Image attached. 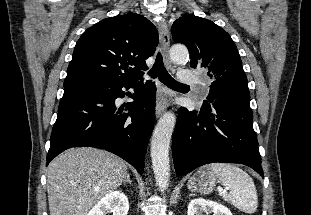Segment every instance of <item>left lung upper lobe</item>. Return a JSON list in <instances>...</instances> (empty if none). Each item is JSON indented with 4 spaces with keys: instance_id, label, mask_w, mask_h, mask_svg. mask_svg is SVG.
<instances>
[{
    "instance_id": "1",
    "label": "left lung upper lobe",
    "mask_w": 311,
    "mask_h": 215,
    "mask_svg": "<svg viewBox=\"0 0 311 215\" xmlns=\"http://www.w3.org/2000/svg\"><path fill=\"white\" fill-rule=\"evenodd\" d=\"M173 40L187 46L192 68H203L212 79L207 100L249 103L248 81L237 47L230 35L214 22L184 15L171 28Z\"/></svg>"
}]
</instances>
